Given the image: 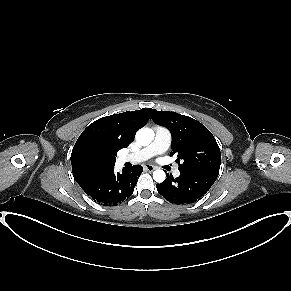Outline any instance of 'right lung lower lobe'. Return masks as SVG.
<instances>
[{"mask_svg": "<svg viewBox=\"0 0 291 291\" xmlns=\"http://www.w3.org/2000/svg\"><path fill=\"white\" fill-rule=\"evenodd\" d=\"M122 173H115L114 168L80 185L94 201L104 206H115L127 199L142 172V166L123 168Z\"/></svg>", "mask_w": 291, "mask_h": 291, "instance_id": "right-lung-lower-lobe-1", "label": "right lung lower lobe"}]
</instances>
